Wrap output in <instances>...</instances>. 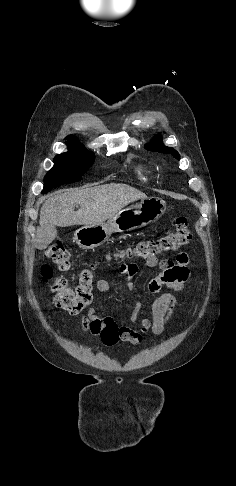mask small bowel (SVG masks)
<instances>
[{"instance_id": "obj_1", "label": "small bowel", "mask_w": 236, "mask_h": 486, "mask_svg": "<svg viewBox=\"0 0 236 486\" xmlns=\"http://www.w3.org/2000/svg\"><path fill=\"white\" fill-rule=\"evenodd\" d=\"M189 258L185 253H179L176 260L168 259L158 260L156 257L146 260L149 267L159 266L161 273L152 279L149 283V292L154 295L150 304L151 318H139L142 304L136 302L133 312L129 318L128 324L120 325L112 317H101L97 314L95 308H90L86 314L81 317L82 329L86 333L94 336H100L102 341L107 345H113L118 341L138 345L142 342L143 335L148 332L160 334L165 329L174 314L176 298L173 293L183 291L185 282L189 277L188 268ZM138 265L135 263L121 264L118 271L121 275L131 279L138 273ZM165 287L170 292L160 293ZM110 285L107 280L99 279L96 282V289L99 293H105L109 290ZM127 288L134 292L135 286L128 282ZM138 324V329L131 327L132 324Z\"/></svg>"}]
</instances>
